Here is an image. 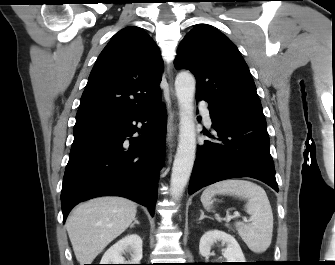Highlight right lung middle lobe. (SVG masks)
I'll return each instance as SVG.
<instances>
[{
  "label": "right lung middle lobe",
  "instance_id": "dd1d6c3e",
  "mask_svg": "<svg viewBox=\"0 0 335 265\" xmlns=\"http://www.w3.org/2000/svg\"><path fill=\"white\" fill-rule=\"evenodd\" d=\"M91 127H94V126H76V127H74V132L80 131V130H85V129L91 128Z\"/></svg>",
  "mask_w": 335,
  "mask_h": 265
}]
</instances>
